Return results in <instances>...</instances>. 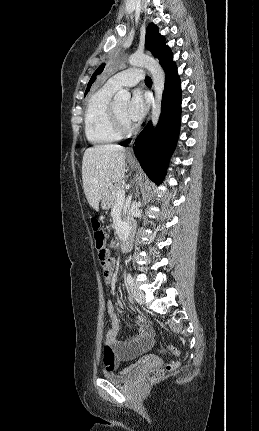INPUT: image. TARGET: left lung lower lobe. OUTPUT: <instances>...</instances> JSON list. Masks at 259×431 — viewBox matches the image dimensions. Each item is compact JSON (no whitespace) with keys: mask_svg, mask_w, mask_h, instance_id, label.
<instances>
[{"mask_svg":"<svg viewBox=\"0 0 259 431\" xmlns=\"http://www.w3.org/2000/svg\"><path fill=\"white\" fill-rule=\"evenodd\" d=\"M172 58L169 47L159 58V63L166 72V82L158 125L154 130L149 122L137 137L133 148L140 165L156 184L164 179L163 170L167 168L180 130L181 84ZM129 141L128 139L121 145Z\"/></svg>","mask_w":259,"mask_h":431,"instance_id":"obj_1","label":"left lung lower lobe"}]
</instances>
